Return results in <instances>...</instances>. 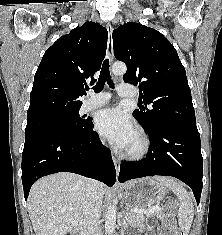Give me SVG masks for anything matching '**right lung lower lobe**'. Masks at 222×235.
Here are the masks:
<instances>
[{
  "label": "right lung lower lobe",
  "instance_id": "98d812e1",
  "mask_svg": "<svg viewBox=\"0 0 222 235\" xmlns=\"http://www.w3.org/2000/svg\"><path fill=\"white\" fill-rule=\"evenodd\" d=\"M57 172L77 173L108 186L115 183L116 171L110 150L93 131L92 119L72 134L52 133L25 142L22 183L26 200L36 180Z\"/></svg>",
  "mask_w": 222,
  "mask_h": 235
}]
</instances>
